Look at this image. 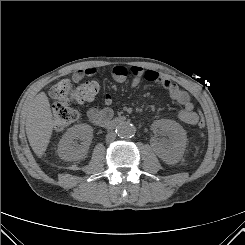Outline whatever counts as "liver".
<instances>
[{
	"label": "liver",
	"mask_w": 245,
	"mask_h": 245,
	"mask_svg": "<svg viewBox=\"0 0 245 245\" xmlns=\"http://www.w3.org/2000/svg\"><path fill=\"white\" fill-rule=\"evenodd\" d=\"M25 115V128L30 146L38 157H42L54 127L50 103L44 92H40L29 103Z\"/></svg>",
	"instance_id": "liver-1"
}]
</instances>
